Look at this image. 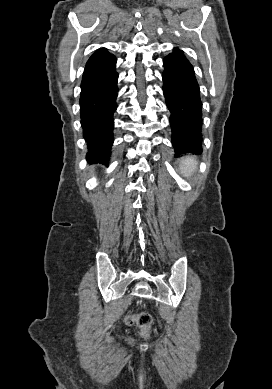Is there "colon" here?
Listing matches in <instances>:
<instances>
[{"mask_svg": "<svg viewBox=\"0 0 272 389\" xmlns=\"http://www.w3.org/2000/svg\"><path fill=\"white\" fill-rule=\"evenodd\" d=\"M152 317L148 313L132 314L127 316L126 323L128 325H137L140 328L143 337H149L151 334Z\"/></svg>", "mask_w": 272, "mask_h": 389, "instance_id": "colon-1", "label": "colon"}]
</instances>
